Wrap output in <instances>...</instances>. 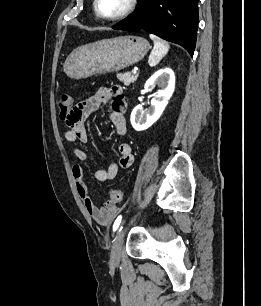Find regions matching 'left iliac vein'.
<instances>
[{
	"label": "left iliac vein",
	"mask_w": 261,
	"mask_h": 306,
	"mask_svg": "<svg viewBox=\"0 0 261 306\" xmlns=\"http://www.w3.org/2000/svg\"><path fill=\"white\" fill-rule=\"evenodd\" d=\"M125 232H126V228H125V225L123 224V226L117 232L115 239L113 241L110 262L114 266H117L120 262L121 249H122Z\"/></svg>",
	"instance_id": "1"
}]
</instances>
